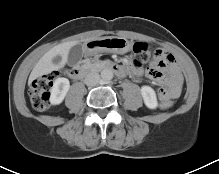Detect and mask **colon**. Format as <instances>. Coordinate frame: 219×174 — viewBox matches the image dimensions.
Masks as SVG:
<instances>
[{
	"mask_svg": "<svg viewBox=\"0 0 219 174\" xmlns=\"http://www.w3.org/2000/svg\"><path fill=\"white\" fill-rule=\"evenodd\" d=\"M154 56L153 50L144 42H137L133 46V65L137 68L149 63ZM56 71L47 73L31 81L29 86L30 102L34 109L43 111L48 107L49 89L57 79ZM160 108L167 110L172 107L170 100L160 99Z\"/></svg>",
	"mask_w": 219,
	"mask_h": 174,
	"instance_id": "1",
	"label": "colon"
}]
</instances>
